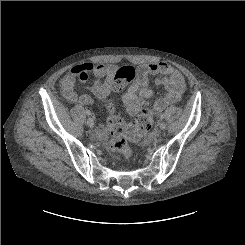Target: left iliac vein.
Instances as JSON below:
<instances>
[{
	"label": "left iliac vein",
	"mask_w": 245,
	"mask_h": 245,
	"mask_svg": "<svg viewBox=\"0 0 245 245\" xmlns=\"http://www.w3.org/2000/svg\"><path fill=\"white\" fill-rule=\"evenodd\" d=\"M159 128H160L161 130H165V129L167 128V124H166L165 122L161 121V122L159 123Z\"/></svg>",
	"instance_id": "obj_1"
}]
</instances>
